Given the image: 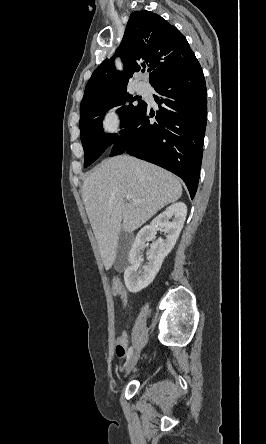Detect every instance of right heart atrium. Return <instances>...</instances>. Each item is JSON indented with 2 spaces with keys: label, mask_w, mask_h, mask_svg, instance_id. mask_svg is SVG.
<instances>
[{
  "label": "right heart atrium",
  "mask_w": 266,
  "mask_h": 444,
  "mask_svg": "<svg viewBox=\"0 0 266 444\" xmlns=\"http://www.w3.org/2000/svg\"><path fill=\"white\" fill-rule=\"evenodd\" d=\"M100 129L103 135L112 137L122 129V117L116 108L108 109L101 117Z\"/></svg>",
  "instance_id": "right-heart-atrium-1"
}]
</instances>
